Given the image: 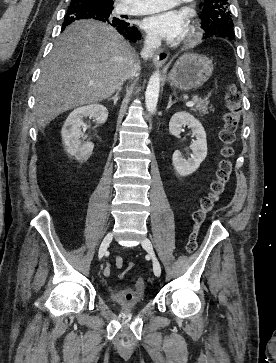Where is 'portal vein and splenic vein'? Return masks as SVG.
<instances>
[{
	"label": "portal vein and splenic vein",
	"mask_w": 276,
	"mask_h": 363,
	"mask_svg": "<svg viewBox=\"0 0 276 363\" xmlns=\"http://www.w3.org/2000/svg\"><path fill=\"white\" fill-rule=\"evenodd\" d=\"M195 105V102H193V101H188L187 103H186V106H188V107H192V106H194Z\"/></svg>",
	"instance_id": "1"
}]
</instances>
